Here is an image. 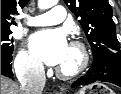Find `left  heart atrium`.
<instances>
[{
  "label": "left heart atrium",
  "mask_w": 121,
  "mask_h": 94,
  "mask_svg": "<svg viewBox=\"0 0 121 94\" xmlns=\"http://www.w3.org/2000/svg\"><path fill=\"white\" fill-rule=\"evenodd\" d=\"M33 53L48 65H59L66 56L68 44L63 32L59 30H45L31 38Z\"/></svg>",
  "instance_id": "left-heart-atrium-1"
}]
</instances>
